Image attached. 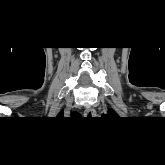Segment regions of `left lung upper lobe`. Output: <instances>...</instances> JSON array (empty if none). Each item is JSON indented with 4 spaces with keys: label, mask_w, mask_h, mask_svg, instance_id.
I'll use <instances>...</instances> for the list:
<instances>
[{
    "label": "left lung upper lobe",
    "mask_w": 165,
    "mask_h": 165,
    "mask_svg": "<svg viewBox=\"0 0 165 165\" xmlns=\"http://www.w3.org/2000/svg\"><path fill=\"white\" fill-rule=\"evenodd\" d=\"M115 114V112H113L112 110H109L108 114Z\"/></svg>",
    "instance_id": "obj_1"
}]
</instances>
